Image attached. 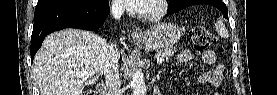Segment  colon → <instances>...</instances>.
Instances as JSON below:
<instances>
[{"label": "colon", "mask_w": 277, "mask_h": 95, "mask_svg": "<svg viewBox=\"0 0 277 95\" xmlns=\"http://www.w3.org/2000/svg\"><path fill=\"white\" fill-rule=\"evenodd\" d=\"M190 37L193 44V48L197 52H203L208 50V48L217 40L216 36L203 26L194 27L190 31ZM83 94L95 95L94 91L91 90L85 91Z\"/></svg>", "instance_id": "5ec220e1"}]
</instances>
